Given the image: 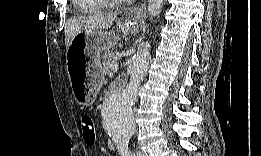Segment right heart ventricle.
<instances>
[{"instance_id": "right-heart-ventricle-1", "label": "right heart ventricle", "mask_w": 261, "mask_h": 156, "mask_svg": "<svg viewBox=\"0 0 261 156\" xmlns=\"http://www.w3.org/2000/svg\"><path fill=\"white\" fill-rule=\"evenodd\" d=\"M92 1L90 0H77V4L81 5V4H90V8L93 9L95 6L91 3Z\"/></svg>"}]
</instances>
